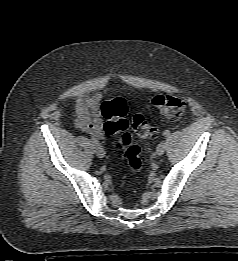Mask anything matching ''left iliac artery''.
<instances>
[{
    "label": "left iliac artery",
    "mask_w": 238,
    "mask_h": 261,
    "mask_svg": "<svg viewBox=\"0 0 238 261\" xmlns=\"http://www.w3.org/2000/svg\"><path fill=\"white\" fill-rule=\"evenodd\" d=\"M163 135L165 137H169L170 136V131L169 130H165V132L163 133Z\"/></svg>",
    "instance_id": "left-iliac-artery-1"
}]
</instances>
